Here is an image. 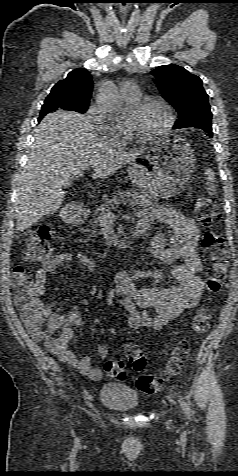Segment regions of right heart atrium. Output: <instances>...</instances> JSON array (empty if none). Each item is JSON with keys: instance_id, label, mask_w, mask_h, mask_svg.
Masks as SVG:
<instances>
[{"instance_id": "obj_1", "label": "right heart atrium", "mask_w": 238, "mask_h": 476, "mask_svg": "<svg viewBox=\"0 0 238 476\" xmlns=\"http://www.w3.org/2000/svg\"><path fill=\"white\" fill-rule=\"evenodd\" d=\"M86 114L93 127L111 141L120 140L126 133L124 127L109 123L96 104L90 105Z\"/></svg>"}]
</instances>
